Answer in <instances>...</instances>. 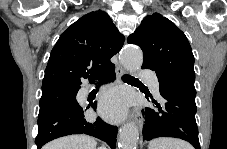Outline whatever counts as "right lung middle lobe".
Segmentation results:
<instances>
[{
	"label": "right lung middle lobe",
	"instance_id": "dd1d6c3e",
	"mask_svg": "<svg viewBox=\"0 0 227 149\" xmlns=\"http://www.w3.org/2000/svg\"><path fill=\"white\" fill-rule=\"evenodd\" d=\"M79 87L58 84L46 88H42V97L40 99L39 115L44 114L50 109L60 106H76L79 105L76 100V94Z\"/></svg>",
	"mask_w": 227,
	"mask_h": 149
}]
</instances>
